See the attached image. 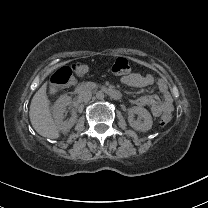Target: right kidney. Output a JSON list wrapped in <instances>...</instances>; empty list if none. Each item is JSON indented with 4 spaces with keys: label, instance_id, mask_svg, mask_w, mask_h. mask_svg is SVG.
Listing matches in <instances>:
<instances>
[{
    "label": "right kidney",
    "instance_id": "ca27d5eb",
    "mask_svg": "<svg viewBox=\"0 0 208 208\" xmlns=\"http://www.w3.org/2000/svg\"><path fill=\"white\" fill-rule=\"evenodd\" d=\"M71 102L72 99L70 96L61 95L52 107L55 125L57 126V129L63 133L68 132L77 121V114L75 112H72V116L69 120H63L65 108L69 106Z\"/></svg>",
    "mask_w": 208,
    "mask_h": 208
}]
</instances>
